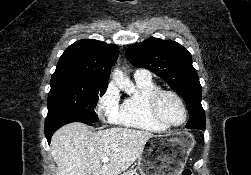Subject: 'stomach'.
<instances>
[{
  "mask_svg": "<svg viewBox=\"0 0 251 175\" xmlns=\"http://www.w3.org/2000/svg\"><path fill=\"white\" fill-rule=\"evenodd\" d=\"M195 145L194 135L178 131L175 137L153 135L137 159L141 175H179Z\"/></svg>",
  "mask_w": 251,
  "mask_h": 175,
  "instance_id": "1",
  "label": "stomach"
}]
</instances>
